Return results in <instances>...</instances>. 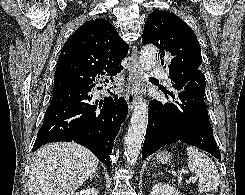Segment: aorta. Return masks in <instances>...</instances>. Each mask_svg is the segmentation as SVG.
I'll list each match as a JSON object with an SVG mask.
<instances>
[{
  "label": "aorta",
  "mask_w": 245,
  "mask_h": 195,
  "mask_svg": "<svg viewBox=\"0 0 245 195\" xmlns=\"http://www.w3.org/2000/svg\"><path fill=\"white\" fill-rule=\"evenodd\" d=\"M157 49L148 45L140 53L139 63L144 71H149L155 65ZM148 123V105L145 100H138L134 107L128 133L125 137V156L128 166H134L138 160L142 143L145 138Z\"/></svg>",
  "instance_id": "aorta-1"
}]
</instances>
